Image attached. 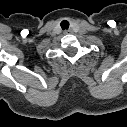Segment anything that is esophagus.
<instances>
[{
	"instance_id": "esophagus-1",
	"label": "esophagus",
	"mask_w": 127,
	"mask_h": 127,
	"mask_svg": "<svg viewBox=\"0 0 127 127\" xmlns=\"http://www.w3.org/2000/svg\"><path fill=\"white\" fill-rule=\"evenodd\" d=\"M70 33H72V30H65L64 31V34H70Z\"/></svg>"
}]
</instances>
